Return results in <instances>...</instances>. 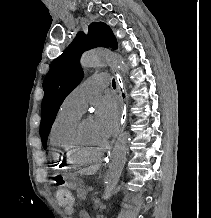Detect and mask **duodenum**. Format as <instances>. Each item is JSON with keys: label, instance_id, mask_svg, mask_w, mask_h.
I'll list each match as a JSON object with an SVG mask.
<instances>
[{"label": "duodenum", "instance_id": "1", "mask_svg": "<svg viewBox=\"0 0 211 218\" xmlns=\"http://www.w3.org/2000/svg\"><path fill=\"white\" fill-rule=\"evenodd\" d=\"M80 217L81 218H92L91 214L87 210H81L80 211Z\"/></svg>", "mask_w": 211, "mask_h": 218}]
</instances>
